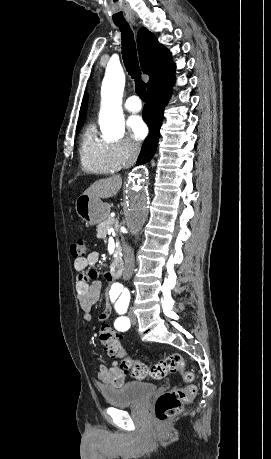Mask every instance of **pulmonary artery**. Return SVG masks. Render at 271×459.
Returning <instances> with one entry per match:
<instances>
[{
    "instance_id": "obj_1",
    "label": "pulmonary artery",
    "mask_w": 271,
    "mask_h": 459,
    "mask_svg": "<svg viewBox=\"0 0 271 459\" xmlns=\"http://www.w3.org/2000/svg\"><path fill=\"white\" fill-rule=\"evenodd\" d=\"M142 108V102L136 95L129 97V99L125 102V109L130 113H138L142 110Z\"/></svg>"
}]
</instances>
